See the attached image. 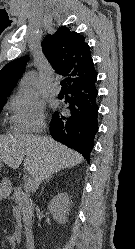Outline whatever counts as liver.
Wrapping results in <instances>:
<instances>
[{
	"mask_svg": "<svg viewBox=\"0 0 135 249\" xmlns=\"http://www.w3.org/2000/svg\"><path fill=\"white\" fill-rule=\"evenodd\" d=\"M24 167L32 176V188L60 170L84 161L81 154L48 136H0V161L17 169L24 157Z\"/></svg>",
	"mask_w": 135,
	"mask_h": 249,
	"instance_id": "1",
	"label": "liver"
}]
</instances>
